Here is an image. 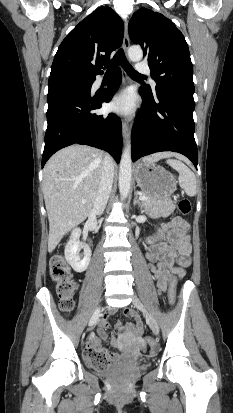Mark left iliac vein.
<instances>
[{"instance_id":"1","label":"left iliac vein","mask_w":233,"mask_h":413,"mask_svg":"<svg viewBox=\"0 0 233 413\" xmlns=\"http://www.w3.org/2000/svg\"><path fill=\"white\" fill-rule=\"evenodd\" d=\"M132 302H133V304H134V306H135L136 308H138L140 311H142V312L146 315L151 330L153 331V333H154L155 335H158V334H159V326H158V323H157V321L155 320V318H154V317L149 313V311L146 309V307L144 306V304L142 303V301H141L136 295H134V296L132 297Z\"/></svg>"}]
</instances>
